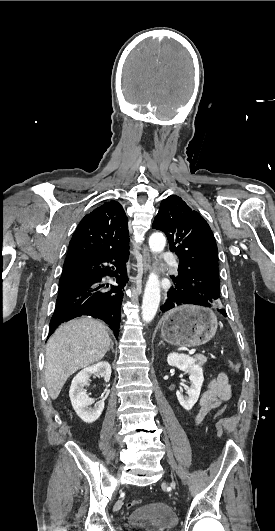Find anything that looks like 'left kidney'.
I'll return each mask as SVG.
<instances>
[{
    "instance_id": "left-kidney-1",
    "label": "left kidney",
    "mask_w": 275,
    "mask_h": 531,
    "mask_svg": "<svg viewBox=\"0 0 275 531\" xmlns=\"http://www.w3.org/2000/svg\"><path fill=\"white\" fill-rule=\"evenodd\" d=\"M167 363L170 367H177L184 373H189L191 387H186L188 397H183L180 391H177V399L182 405L183 409L190 411L197 403L203 385V369L200 365H195V359L188 357V355H179V353H170L167 357Z\"/></svg>"
}]
</instances>
